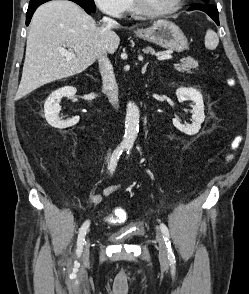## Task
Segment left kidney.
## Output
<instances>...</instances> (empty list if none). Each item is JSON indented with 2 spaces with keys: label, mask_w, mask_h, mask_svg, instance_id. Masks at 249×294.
<instances>
[{
  "label": "left kidney",
  "mask_w": 249,
  "mask_h": 294,
  "mask_svg": "<svg viewBox=\"0 0 249 294\" xmlns=\"http://www.w3.org/2000/svg\"><path fill=\"white\" fill-rule=\"evenodd\" d=\"M176 95L179 102L186 100H191L195 105H193L192 113V123L182 124L178 118H173V125L181 132L187 135H194L199 132L201 124L204 122V103L202 94L196 89L190 87H180L176 90Z\"/></svg>",
  "instance_id": "1"
}]
</instances>
